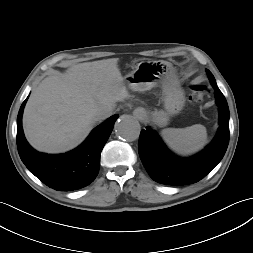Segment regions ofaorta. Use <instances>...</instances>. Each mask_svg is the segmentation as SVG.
<instances>
[{
	"instance_id": "aorta-1",
	"label": "aorta",
	"mask_w": 253,
	"mask_h": 253,
	"mask_svg": "<svg viewBox=\"0 0 253 253\" xmlns=\"http://www.w3.org/2000/svg\"><path fill=\"white\" fill-rule=\"evenodd\" d=\"M115 134L126 141L136 140L141 131V126L137 119L132 116H123L115 123Z\"/></svg>"
}]
</instances>
